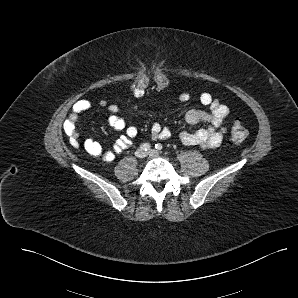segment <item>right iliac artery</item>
<instances>
[{"mask_svg": "<svg viewBox=\"0 0 298 298\" xmlns=\"http://www.w3.org/2000/svg\"><path fill=\"white\" fill-rule=\"evenodd\" d=\"M140 148L143 149L144 151H149L151 146L149 143H143L140 145Z\"/></svg>", "mask_w": 298, "mask_h": 298, "instance_id": "right-iliac-artery-1", "label": "right iliac artery"}]
</instances>
